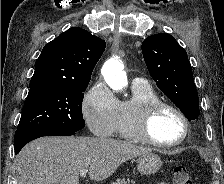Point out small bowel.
I'll list each match as a JSON object with an SVG mask.
<instances>
[{
    "mask_svg": "<svg viewBox=\"0 0 224 184\" xmlns=\"http://www.w3.org/2000/svg\"><path fill=\"white\" fill-rule=\"evenodd\" d=\"M158 184H168V183H158Z\"/></svg>",
    "mask_w": 224,
    "mask_h": 184,
    "instance_id": "small-bowel-1",
    "label": "small bowel"
}]
</instances>
